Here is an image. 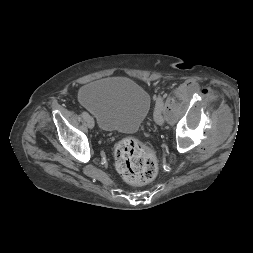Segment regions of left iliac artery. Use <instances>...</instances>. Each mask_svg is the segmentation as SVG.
Returning a JSON list of instances; mask_svg holds the SVG:
<instances>
[{
	"mask_svg": "<svg viewBox=\"0 0 253 253\" xmlns=\"http://www.w3.org/2000/svg\"><path fill=\"white\" fill-rule=\"evenodd\" d=\"M159 105L164 106L163 100H162V98H161L160 96L157 97V99H156L155 109H156Z\"/></svg>",
	"mask_w": 253,
	"mask_h": 253,
	"instance_id": "left-iliac-artery-1",
	"label": "left iliac artery"
}]
</instances>
